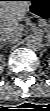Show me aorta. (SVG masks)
<instances>
[{"label":"aorta","mask_w":50,"mask_h":111,"mask_svg":"<svg viewBox=\"0 0 50 111\" xmlns=\"http://www.w3.org/2000/svg\"><path fill=\"white\" fill-rule=\"evenodd\" d=\"M26 45L31 50H41L43 48V42L40 36L31 35L26 40Z\"/></svg>","instance_id":"1"}]
</instances>
